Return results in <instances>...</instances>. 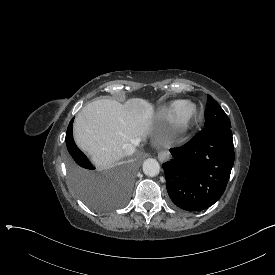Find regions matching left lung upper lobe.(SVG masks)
<instances>
[{"instance_id": "5c2ea615", "label": "left lung upper lobe", "mask_w": 275, "mask_h": 275, "mask_svg": "<svg viewBox=\"0 0 275 275\" xmlns=\"http://www.w3.org/2000/svg\"><path fill=\"white\" fill-rule=\"evenodd\" d=\"M207 104L204 116L206 117L205 128L215 126H228L231 127V123L225 112L218 105V103L210 96L207 95Z\"/></svg>"}]
</instances>
